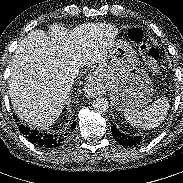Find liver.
<instances>
[{
	"instance_id": "obj_1",
	"label": "liver",
	"mask_w": 183,
	"mask_h": 183,
	"mask_svg": "<svg viewBox=\"0 0 183 183\" xmlns=\"http://www.w3.org/2000/svg\"><path fill=\"white\" fill-rule=\"evenodd\" d=\"M118 34L110 23H85L69 30L34 29L18 44L10 64L9 96L18 117L48 127L60 116L71 90V67L100 63Z\"/></svg>"
}]
</instances>
